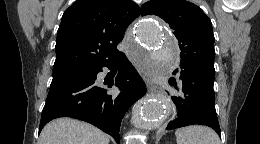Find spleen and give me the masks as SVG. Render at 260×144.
I'll return each instance as SVG.
<instances>
[{
	"label": "spleen",
	"mask_w": 260,
	"mask_h": 144,
	"mask_svg": "<svg viewBox=\"0 0 260 144\" xmlns=\"http://www.w3.org/2000/svg\"><path fill=\"white\" fill-rule=\"evenodd\" d=\"M177 144H220L217 133L206 126H188L175 132Z\"/></svg>",
	"instance_id": "spleen-1"
}]
</instances>
